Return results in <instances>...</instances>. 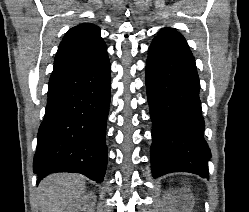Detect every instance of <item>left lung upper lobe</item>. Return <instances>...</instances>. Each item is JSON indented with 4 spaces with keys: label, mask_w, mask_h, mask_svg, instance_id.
Wrapping results in <instances>:
<instances>
[{
    "label": "left lung upper lobe",
    "mask_w": 249,
    "mask_h": 212,
    "mask_svg": "<svg viewBox=\"0 0 249 212\" xmlns=\"http://www.w3.org/2000/svg\"><path fill=\"white\" fill-rule=\"evenodd\" d=\"M152 43H163L192 55L184 37L172 28L161 29L158 36L153 39Z\"/></svg>",
    "instance_id": "left-lung-upper-lobe-1"
}]
</instances>
